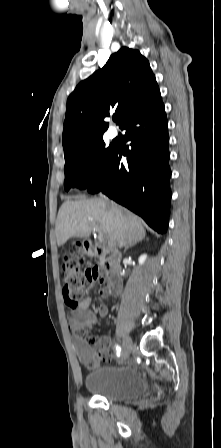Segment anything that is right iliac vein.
Wrapping results in <instances>:
<instances>
[{
  "label": "right iliac vein",
  "instance_id": "63e3f726",
  "mask_svg": "<svg viewBox=\"0 0 221 448\" xmlns=\"http://www.w3.org/2000/svg\"><path fill=\"white\" fill-rule=\"evenodd\" d=\"M122 358L127 359L129 354L135 349L133 342L129 336H125L122 343Z\"/></svg>",
  "mask_w": 221,
  "mask_h": 448
}]
</instances>
